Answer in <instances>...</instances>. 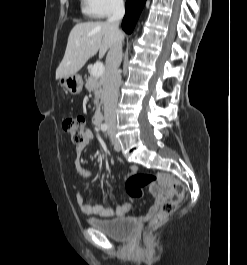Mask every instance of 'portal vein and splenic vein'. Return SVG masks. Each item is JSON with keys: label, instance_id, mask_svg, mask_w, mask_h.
<instances>
[{"label": "portal vein and splenic vein", "instance_id": "portal-vein-and-splenic-vein-1", "mask_svg": "<svg viewBox=\"0 0 247 265\" xmlns=\"http://www.w3.org/2000/svg\"><path fill=\"white\" fill-rule=\"evenodd\" d=\"M104 65L100 62H97L93 65L92 69H91V73L93 76H101L104 73Z\"/></svg>", "mask_w": 247, "mask_h": 265}]
</instances>
